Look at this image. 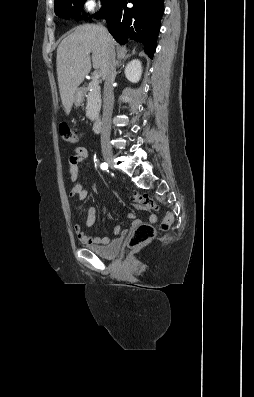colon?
Returning a JSON list of instances; mask_svg holds the SVG:
<instances>
[{
  "label": "colon",
  "instance_id": "1",
  "mask_svg": "<svg viewBox=\"0 0 254 397\" xmlns=\"http://www.w3.org/2000/svg\"><path fill=\"white\" fill-rule=\"evenodd\" d=\"M59 131L62 136V138L72 144H75L78 142V136L77 134L69 127V125L65 122L60 123L59 125ZM132 199L134 202L142 209L147 210V211H153L157 210L158 206L155 203L154 200L151 198L145 197L139 193H132ZM172 223V216L171 215H166L165 218L163 219L160 228L162 230H167L169 229L170 225ZM157 230L156 228L151 225V224H140L135 228V230L132 232L128 239V247L129 248H136L143 246L150 242L155 236H156Z\"/></svg>",
  "mask_w": 254,
  "mask_h": 397
}]
</instances>
